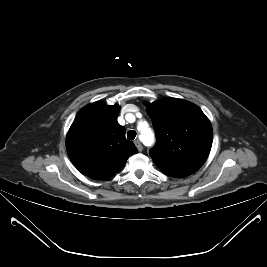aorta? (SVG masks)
I'll return each instance as SVG.
<instances>
[{
  "mask_svg": "<svg viewBox=\"0 0 267 267\" xmlns=\"http://www.w3.org/2000/svg\"><path fill=\"white\" fill-rule=\"evenodd\" d=\"M141 139L145 144L150 145L154 141V135L149 128H145L141 130Z\"/></svg>",
  "mask_w": 267,
  "mask_h": 267,
  "instance_id": "1",
  "label": "aorta"
}]
</instances>
